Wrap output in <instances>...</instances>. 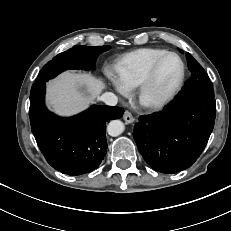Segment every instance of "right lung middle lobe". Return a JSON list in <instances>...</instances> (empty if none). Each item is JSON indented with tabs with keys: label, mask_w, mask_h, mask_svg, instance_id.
I'll list each match as a JSON object with an SVG mask.
<instances>
[{
	"label": "right lung middle lobe",
	"mask_w": 231,
	"mask_h": 231,
	"mask_svg": "<svg viewBox=\"0 0 231 231\" xmlns=\"http://www.w3.org/2000/svg\"><path fill=\"white\" fill-rule=\"evenodd\" d=\"M110 49V46H74L58 54L41 69L36 81H45L54 78L67 69H91L100 53Z\"/></svg>",
	"instance_id": "dd1d6c3e"
}]
</instances>
